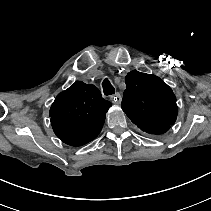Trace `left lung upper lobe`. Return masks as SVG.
<instances>
[{
    "instance_id": "5c2ea615",
    "label": "left lung upper lobe",
    "mask_w": 211,
    "mask_h": 211,
    "mask_svg": "<svg viewBox=\"0 0 211 211\" xmlns=\"http://www.w3.org/2000/svg\"><path fill=\"white\" fill-rule=\"evenodd\" d=\"M121 107L142 131L160 135L167 132L177 118L176 97L159 77L131 71L125 78Z\"/></svg>"
}]
</instances>
